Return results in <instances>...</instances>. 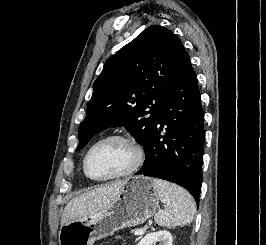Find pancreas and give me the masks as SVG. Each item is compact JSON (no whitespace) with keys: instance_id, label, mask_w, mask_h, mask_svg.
Masks as SVG:
<instances>
[{"instance_id":"cf45deb5","label":"pancreas","mask_w":266,"mask_h":245,"mask_svg":"<svg viewBox=\"0 0 266 245\" xmlns=\"http://www.w3.org/2000/svg\"><path fill=\"white\" fill-rule=\"evenodd\" d=\"M134 231H138V229H134ZM132 233H133V231H132Z\"/></svg>"}]
</instances>
